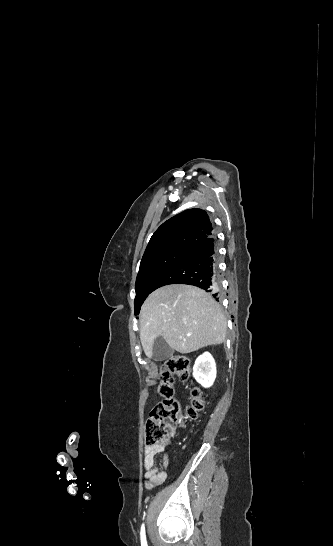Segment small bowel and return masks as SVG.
Returning a JSON list of instances; mask_svg holds the SVG:
<instances>
[{
  "instance_id": "small-bowel-1",
  "label": "small bowel",
  "mask_w": 333,
  "mask_h": 546,
  "mask_svg": "<svg viewBox=\"0 0 333 546\" xmlns=\"http://www.w3.org/2000/svg\"><path fill=\"white\" fill-rule=\"evenodd\" d=\"M162 454L161 464L156 463V457ZM169 455L164 445H147L144 449L143 467L147 487L152 488L164 483L167 478Z\"/></svg>"
}]
</instances>
